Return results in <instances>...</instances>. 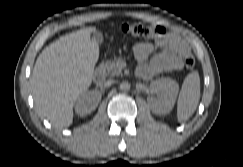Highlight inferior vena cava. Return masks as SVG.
I'll return each mask as SVG.
<instances>
[{
	"mask_svg": "<svg viewBox=\"0 0 243 167\" xmlns=\"http://www.w3.org/2000/svg\"><path fill=\"white\" fill-rule=\"evenodd\" d=\"M114 82H115L114 80L109 79V80L105 81L103 85H104V87H109V86H111Z\"/></svg>",
	"mask_w": 243,
	"mask_h": 167,
	"instance_id": "602c4592",
	"label": "inferior vena cava"
}]
</instances>
